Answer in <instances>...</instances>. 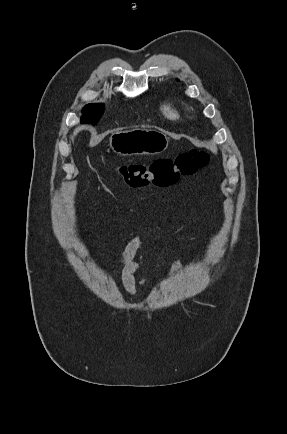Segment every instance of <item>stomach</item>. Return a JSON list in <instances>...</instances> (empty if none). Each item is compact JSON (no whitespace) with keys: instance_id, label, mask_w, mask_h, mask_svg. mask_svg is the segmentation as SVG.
I'll return each mask as SVG.
<instances>
[{"instance_id":"1","label":"stomach","mask_w":287,"mask_h":434,"mask_svg":"<svg viewBox=\"0 0 287 434\" xmlns=\"http://www.w3.org/2000/svg\"><path fill=\"white\" fill-rule=\"evenodd\" d=\"M113 152L122 155L159 154L169 145L165 133L155 129H133L114 131L109 138Z\"/></svg>"}]
</instances>
